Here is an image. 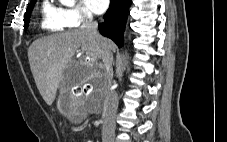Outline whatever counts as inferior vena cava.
Returning a JSON list of instances; mask_svg holds the SVG:
<instances>
[{
	"mask_svg": "<svg viewBox=\"0 0 227 142\" xmlns=\"http://www.w3.org/2000/svg\"><path fill=\"white\" fill-rule=\"evenodd\" d=\"M97 22L93 21L91 12H85V21L81 29L98 41L102 40V36L97 31ZM101 58L103 60V76L105 89V104H104V124L102 129V142H113L115 134V116L118 108V95L112 90L111 83L113 79L112 56L109 50L105 47L101 49Z\"/></svg>",
	"mask_w": 227,
	"mask_h": 142,
	"instance_id": "602c4592",
	"label": "inferior vena cava"
}]
</instances>
